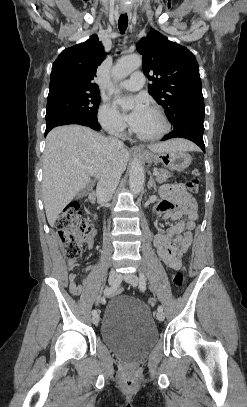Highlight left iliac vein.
Instances as JSON below:
<instances>
[{"label":"left iliac vein","instance_id":"1","mask_svg":"<svg viewBox=\"0 0 247 407\" xmlns=\"http://www.w3.org/2000/svg\"><path fill=\"white\" fill-rule=\"evenodd\" d=\"M123 279L133 287H136L139 283V278L135 273L124 275ZM156 316L159 321H163L165 318L163 311H158Z\"/></svg>","mask_w":247,"mask_h":407}]
</instances>
